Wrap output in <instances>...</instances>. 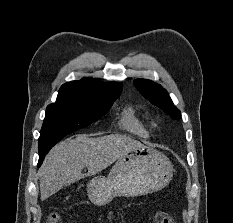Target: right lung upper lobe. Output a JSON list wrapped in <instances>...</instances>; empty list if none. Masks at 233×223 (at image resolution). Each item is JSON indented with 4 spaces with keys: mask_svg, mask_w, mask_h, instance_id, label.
<instances>
[{
    "mask_svg": "<svg viewBox=\"0 0 233 223\" xmlns=\"http://www.w3.org/2000/svg\"><path fill=\"white\" fill-rule=\"evenodd\" d=\"M122 83H102L97 79L84 78L62 85L58 101H77L83 103H113L121 94Z\"/></svg>",
    "mask_w": 233,
    "mask_h": 223,
    "instance_id": "obj_1",
    "label": "right lung upper lobe"
}]
</instances>
